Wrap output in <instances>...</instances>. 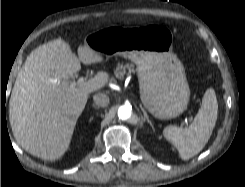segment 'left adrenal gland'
Returning <instances> with one entry per match:
<instances>
[{"label": "left adrenal gland", "mask_w": 245, "mask_h": 187, "mask_svg": "<svg viewBox=\"0 0 245 187\" xmlns=\"http://www.w3.org/2000/svg\"><path fill=\"white\" fill-rule=\"evenodd\" d=\"M140 108H141V110H142V112L144 114V121H147L150 124V126L153 128V124L150 121L147 112L145 111V109L142 106H140Z\"/></svg>", "instance_id": "a2214340"}]
</instances>
